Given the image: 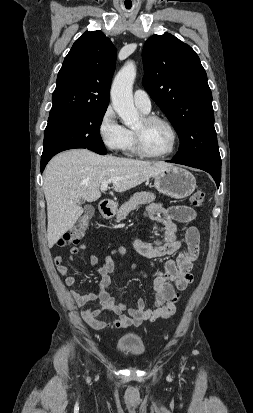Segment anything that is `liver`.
<instances>
[{
    "label": "liver",
    "mask_w": 253,
    "mask_h": 413,
    "mask_svg": "<svg viewBox=\"0 0 253 413\" xmlns=\"http://www.w3.org/2000/svg\"><path fill=\"white\" fill-rule=\"evenodd\" d=\"M172 166L161 161L100 156L87 149L68 150L54 156L43 176L49 247H53L83 213L78 205L81 198L93 202L101 197L99 187L103 182L116 179L112 188L124 192Z\"/></svg>",
    "instance_id": "liver-1"
}]
</instances>
